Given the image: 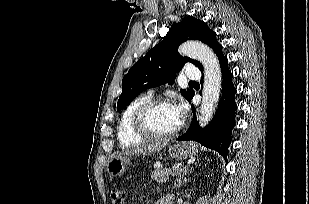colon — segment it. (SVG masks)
<instances>
[{
  "mask_svg": "<svg viewBox=\"0 0 309 204\" xmlns=\"http://www.w3.org/2000/svg\"><path fill=\"white\" fill-rule=\"evenodd\" d=\"M110 195L113 204H123L125 192L122 188L112 187L110 190Z\"/></svg>",
  "mask_w": 309,
  "mask_h": 204,
  "instance_id": "obj_1",
  "label": "colon"
}]
</instances>
